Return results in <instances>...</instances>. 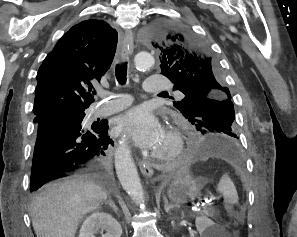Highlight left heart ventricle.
<instances>
[{"label":"left heart ventricle","instance_id":"left-heart-ventricle-1","mask_svg":"<svg viewBox=\"0 0 297 237\" xmlns=\"http://www.w3.org/2000/svg\"><path fill=\"white\" fill-rule=\"evenodd\" d=\"M167 146H168V139H167L166 134L164 132L161 140L159 141L158 146L155 148V151H162V150L166 149Z\"/></svg>","mask_w":297,"mask_h":237}]
</instances>
